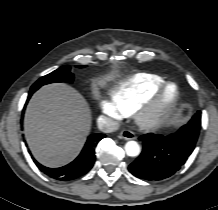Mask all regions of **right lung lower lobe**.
Listing matches in <instances>:
<instances>
[{"label":"right lung lower lobe","instance_id":"right-lung-lower-lobe-1","mask_svg":"<svg viewBox=\"0 0 218 210\" xmlns=\"http://www.w3.org/2000/svg\"><path fill=\"white\" fill-rule=\"evenodd\" d=\"M33 93L34 92L30 90L28 100ZM102 138H104V134L90 135L80 155L66 166L60 168H48L38 163L35 159L34 162L42 172L56 180L69 181L79 178L93 167L95 162V148Z\"/></svg>","mask_w":218,"mask_h":210}]
</instances>
